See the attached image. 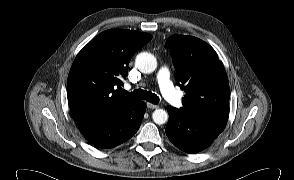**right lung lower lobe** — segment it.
<instances>
[{"mask_svg": "<svg viewBox=\"0 0 294 180\" xmlns=\"http://www.w3.org/2000/svg\"><path fill=\"white\" fill-rule=\"evenodd\" d=\"M146 104L133 100L111 116L78 125L83 136L100 148H112L130 139L139 129Z\"/></svg>", "mask_w": 294, "mask_h": 180, "instance_id": "98d812e1", "label": "right lung lower lobe"}]
</instances>
